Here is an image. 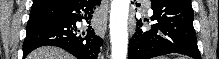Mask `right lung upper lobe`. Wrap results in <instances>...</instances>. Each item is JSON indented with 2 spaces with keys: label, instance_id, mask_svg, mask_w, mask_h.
Returning a JSON list of instances; mask_svg holds the SVG:
<instances>
[{
  "label": "right lung upper lobe",
  "instance_id": "1",
  "mask_svg": "<svg viewBox=\"0 0 219 59\" xmlns=\"http://www.w3.org/2000/svg\"><path fill=\"white\" fill-rule=\"evenodd\" d=\"M57 0H33V7L42 3H52Z\"/></svg>",
  "mask_w": 219,
  "mask_h": 59
}]
</instances>
